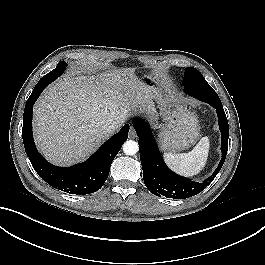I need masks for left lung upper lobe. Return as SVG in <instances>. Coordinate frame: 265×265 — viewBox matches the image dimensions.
Listing matches in <instances>:
<instances>
[{
    "label": "left lung upper lobe",
    "instance_id": "obj_1",
    "mask_svg": "<svg viewBox=\"0 0 265 265\" xmlns=\"http://www.w3.org/2000/svg\"><path fill=\"white\" fill-rule=\"evenodd\" d=\"M196 84H208V83L196 68L193 67L186 68L183 78L184 91L187 89L188 86Z\"/></svg>",
    "mask_w": 265,
    "mask_h": 265
}]
</instances>
